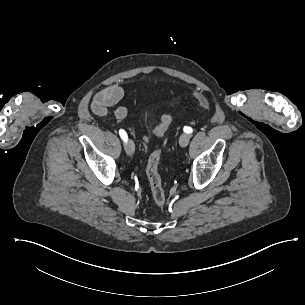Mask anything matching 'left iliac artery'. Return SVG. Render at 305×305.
Here are the masks:
<instances>
[{
  "label": "left iliac artery",
  "mask_w": 305,
  "mask_h": 305,
  "mask_svg": "<svg viewBox=\"0 0 305 305\" xmlns=\"http://www.w3.org/2000/svg\"><path fill=\"white\" fill-rule=\"evenodd\" d=\"M184 132H185V133H192V132H193V129H192L191 127L185 126V127H184Z\"/></svg>",
  "instance_id": "1"
}]
</instances>
